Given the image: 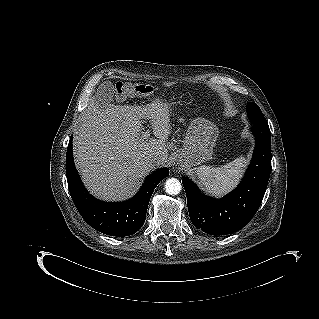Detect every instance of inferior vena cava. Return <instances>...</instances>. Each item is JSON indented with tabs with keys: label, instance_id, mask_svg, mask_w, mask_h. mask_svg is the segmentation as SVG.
Instances as JSON below:
<instances>
[{
	"label": "inferior vena cava",
	"instance_id": "inferior-vena-cava-1",
	"mask_svg": "<svg viewBox=\"0 0 319 319\" xmlns=\"http://www.w3.org/2000/svg\"><path fill=\"white\" fill-rule=\"evenodd\" d=\"M161 162H162V159L158 155L152 156L148 159V163L152 166L160 165Z\"/></svg>",
	"mask_w": 319,
	"mask_h": 319
}]
</instances>
